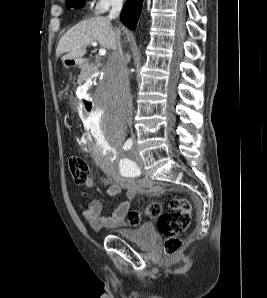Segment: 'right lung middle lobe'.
Here are the masks:
<instances>
[{
  "instance_id": "1",
  "label": "right lung middle lobe",
  "mask_w": 267,
  "mask_h": 298,
  "mask_svg": "<svg viewBox=\"0 0 267 298\" xmlns=\"http://www.w3.org/2000/svg\"><path fill=\"white\" fill-rule=\"evenodd\" d=\"M85 1L84 0H67V7L71 8H80L84 6Z\"/></svg>"
}]
</instances>
